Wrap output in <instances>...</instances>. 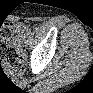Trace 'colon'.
Here are the masks:
<instances>
[{
  "mask_svg": "<svg viewBox=\"0 0 93 93\" xmlns=\"http://www.w3.org/2000/svg\"><path fill=\"white\" fill-rule=\"evenodd\" d=\"M17 27V22L14 20L11 24V26L5 27L3 26L2 30L4 32V39L6 41H8V43L10 42L11 39L16 38V34H14V30ZM17 50H13L10 49L9 52L6 54V60L9 61L11 60L10 56H12L13 59V65H10L8 63L7 67H8V71L11 72H16L17 70H20L22 68V60H23V55L24 52L23 50H20L21 54L23 55H16L18 52H16ZM16 52V53H15Z\"/></svg>",
  "mask_w": 93,
  "mask_h": 93,
  "instance_id": "colon-1",
  "label": "colon"
}]
</instances>
